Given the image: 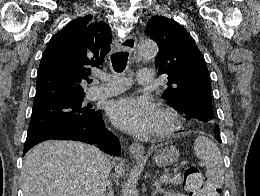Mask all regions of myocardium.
Returning a JSON list of instances; mask_svg holds the SVG:
<instances>
[{"instance_id":"obj_1","label":"myocardium","mask_w":260,"mask_h":196,"mask_svg":"<svg viewBox=\"0 0 260 196\" xmlns=\"http://www.w3.org/2000/svg\"><path fill=\"white\" fill-rule=\"evenodd\" d=\"M158 121L153 128V135L162 137L170 134L180 125L178 113L167 104L159 102L156 105Z\"/></svg>"}]
</instances>
